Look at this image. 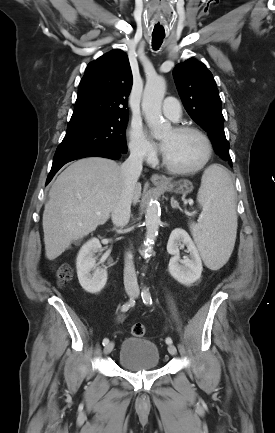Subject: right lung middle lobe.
I'll use <instances>...</instances> for the list:
<instances>
[{
	"label": "right lung middle lobe",
	"instance_id": "1",
	"mask_svg": "<svg viewBox=\"0 0 275 433\" xmlns=\"http://www.w3.org/2000/svg\"><path fill=\"white\" fill-rule=\"evenodd\" d=\"M126 118L82 117L71 119L67 133L58 146L55 155L68 152L111 148L127 152L125 130Z\"/></svg>",
	"mask_w": 275,
	"mask_h": 433
}]
</instances>
